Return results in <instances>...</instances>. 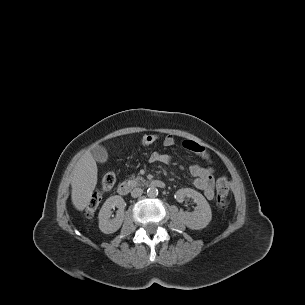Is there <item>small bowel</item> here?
<instances>
[{
  "label": "small bowel",
  "mask_w": 305,
  "mask_h": 305,
  "mask_svg": "<svg viewBox=\"0 0 305 305\" xmlns=\"http://www.w3.org/2000/svg\"><path fill=\"white\" fill-rule=\"evenodd\" d=\"M176 143V139L173 135H167L163 140V145L165 147H172ZM183 147L205 161H210V156L206 149L199 145L198 143L192 140H185L183 142ZM189 145L195 146V149L190 148ZM171 156L165 153L153 152L149 156L150 163H170ZM190 174L193 178L194 186L201 190L204 196L208 200H212L214 198V186H215V178H214V170L211 166L203 167L198 164H194L190 167Z\"/></svg>",
  "instance_id": "1"
}]
</instances>
